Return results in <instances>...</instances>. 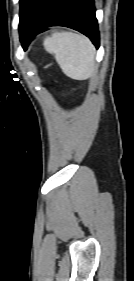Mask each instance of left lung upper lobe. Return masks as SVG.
<instances>
[{
	"label": "left lung upper lobe",
	"instance_id": "5c2ea615",
	"mask_svg": "<svg viewBox=\"0 0 134 281\" xmlns=\"http://www.w3.org/2000/svg\"><path fill=\"white\" fill-rule=\"evenodd\" d=\"M41 0H20V23L19 32H21L26 26L29 18L34 12L35 8Z\"/></svg>",
	"mask_w": 134,
	"mask_h": 281
}]
</instances>
